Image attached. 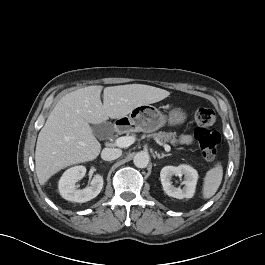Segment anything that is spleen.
<instances>
[{
  "mask_svg": "<svg viewBox=\"0 0 265 265\" xmlns=\"http://www.w3.org/2000/svg\"><path fill=\"white\" fill-rule=\"evenodd\" d=\"M223 177V168L220 163H217L213 168L207 171L202 188L204 199H209L217 192Z\"/></svg>",
  "mask_w": 265,
  "mask_h": 265,
  "instance_id": "1",
  "label": "spleen"
}]
</instances>
